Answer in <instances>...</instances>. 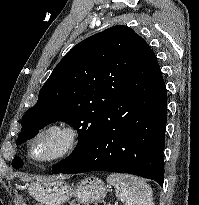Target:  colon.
Segmentation results:
<instances>
[{"label":"colon","mask_w":199,"mask_h":205,"mask_svg":"<svg viewBox=\"0 0 199 205\" xmlns=\"http://www.w3.org/2000/svg\"><path fill=\"white\" fill-rule=\"evenodd\" d=\"M96 205H105L104 202H99L98 204Z\"/></svg>","instance_id":"colon-1"}]
</instances>
